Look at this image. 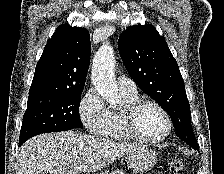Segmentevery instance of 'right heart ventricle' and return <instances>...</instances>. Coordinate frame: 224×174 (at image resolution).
Segmentation results:
<instances>
[{
  "mask_svg": "<svg viewBox=\"0 0 224 174\" xmlns=\"http://www.w3.org/2000/svg\"><path fill=\"white\" fill-rule=\"evenodd\" d=\"M123 106L138 99L136 95L122 93ZM122 106V107H123ZM120 110H108V123L101 137L111 140H131L132 138L123 129L120 120Z\"/></svg>",
  "mask_w": 224,
  "mask_h": 174,
  "instance_id": "right-heart-ventricle-1",
  "label": "right heart ventricle"
}]
</instances>
